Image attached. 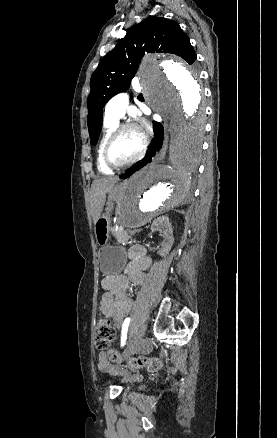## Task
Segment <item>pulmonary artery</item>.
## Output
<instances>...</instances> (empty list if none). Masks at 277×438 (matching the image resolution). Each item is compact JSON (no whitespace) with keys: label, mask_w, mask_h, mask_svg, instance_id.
<instances>
[{"label":"pulmonary artery","mask_w":277,"mask_h":438,"mask_svg":"<svg viewBox=\"0 0 277 438\" xmlns=\"http://www.w3.org/2000/svg\"><path fill=\"white\" fill-rule=\"evenodd\" d=\"M132 77L133 84L129 85L130 89L139 90L141 83L137 81L136 77ZM114 93L117 97L113 96L111 101L105 106L104 117L107 120L118 121L125 116L130 94L125 87H116Z\"/></svg>","instance_id":"pulmonary-artery-1"}]
</instances>
